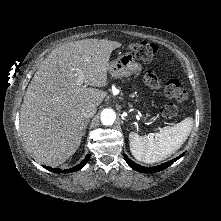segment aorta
I'll return each mask as SVG.
<instances>
[{
  "instance_id": "obj_1",
  "label": "aorta",
  "mask_w": 221,
  "mask_h": 221,
  "mask_svg": "<svg viewBox=\"0 0 221 221\" xmlns=\"http://www.w3.org/2000/svg\"><path fill=\"white\" fill-rule=\"evenodd\" d=\"M116 119V114L112 109H104L101 113V122L104 125H112Z\"/></svg>"
}]
</instances>
